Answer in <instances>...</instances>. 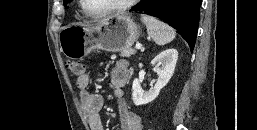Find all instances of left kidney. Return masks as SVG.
Instances as JSON below:
<instances>
[{
    "label": "left kidney",
    "mask_w": 257,
    "mask_h": 130,
    "mask_svg": "<svg viewBox=\"0 0 257 130\" xmlns=\"http://www.w3.org/2000/svg\"><path fill=\"white\" fill-rule=\"evenodd\" d=\"M178 59V52L174 48L164 50L158 54L152 61L154 72L158 75V80L154 87L149 91H144L140 81L134 79L132 84V100L136 106L148 104L152 102L158 95L160 90L167 85L171 79Z\"/></svg>",
    "instance_id": "5707ae66"
}]
</instances>
